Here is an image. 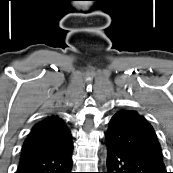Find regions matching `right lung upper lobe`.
I'll return each instance as SVG.
<instances>
[{
  "instance_id": "obj_1",
  "label": "right lung upper lobe",
  "mask_w": 173,
  "mask_h": 173,
  "mask_svg": "<svg viewBox=\"0 0 173 173\" xmlns=\"http://www.w3.org/2000/svg\"><path fill=\"white\" fill-rule=\"evenodd\" d=\"M71 143V133L58 116H48L34 125L23 144L21 157L61 149Z\"/></svg>"
}]
</instances>
